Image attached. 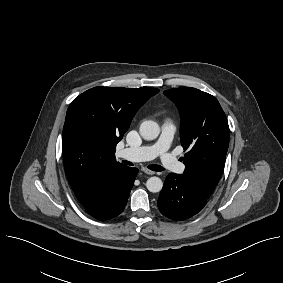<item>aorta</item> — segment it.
<instances>
[{"mask_svg":"<svg viewBox=\"0 0 283 283\" xmlns=\"http://www.w3.org/2000/svg\"><path fill=\"white\" fill-rule=\"evenodd\" d=\"M140 135L145 140H154L159 136L160 127L152 120H146L141 123L139 129ZM147 189L152 193L160 192L163 187V182L159 177H150L146 182Z\"/></svg>","mask_w":283,"mask_h":283,"instance_id":"aorta-1","label":"aorta"}]
</instances>
